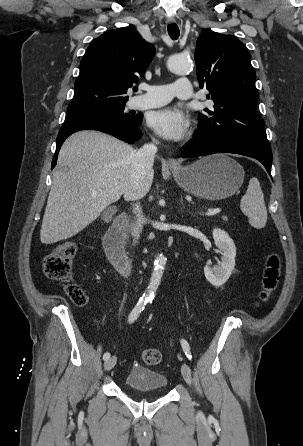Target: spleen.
I'll use <instances>...</instances> for the list:
<instances>
[{"label": "spleen", "instance_id": "spleen-1", "mask_svg": "<svg viewBox=\"0 0 303 446\" xmlns=\"http://www.w3.org/2000/svg\"><path fill=\"white\" fill-rule=\"evenodd\" d=\"M240 209L248 216L249 224L257 229L263 228L267 222V209L263 192L257 178L249 181L248 189L240 201Z\"/></svg>", "mask_w": 303, "mask_h": 446}]
</instances>
